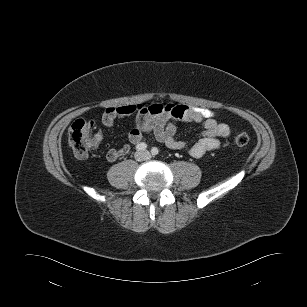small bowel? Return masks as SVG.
Wrapping results in <instances>:
<instances>
[{"instance_id":"small-bowel-1","label":"small bowel","mask_w":307,"mask_h":307,"mask_svg":"<svg viewBox=\"0 0 307 307\" xmlns=\"http://www.w3.org/2000/svg\"><path fill=\"white\" fill-rule=\"evenodd\" d=\"M136 114L134 128L128 133V141L132 145L143 143V135L151 134L153 137L174 150H185L194 158H200L209 151L218 150L221 146L220 139L227 138L230 128L227 124L219 123L214 118V113L209 109L190 107L186 105L155 103L150 106L141 104H129L120 107L107 108L103 114V123L110 127L120 117ZM194 122L202 126L201 137L189 144L176 137V123ZM104 134L98 130L93 137L94 147H98L103 141ZM130 150L129 144L120 148H111L107 152V159L115 161Z\"/></svg>"}]
</instances>
